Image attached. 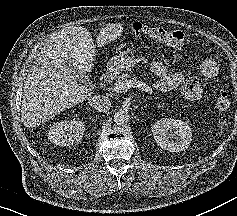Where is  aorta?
<instances>
[{
	"label": "aorta",
	"mask_w": 237,
	"mask_h": 216,
	"mask_svg": "<svg viewBox=\"0 0 237 216\" xmlns=\"http://www.w3.org/2000/svg\"><path fill=\"white\" fill-rule=\"evenodd\" d=\"M130 116L124 110L117 111L113 116L114 124L117 126H125L129 122Z\"/></svg>",
	"instance_id": "762f6f07"
}]
</instances>
